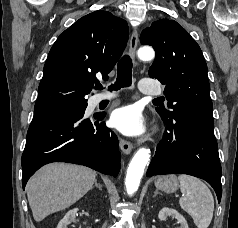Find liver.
<instances>
[{"mask_svg": "<svg viewBox=\"0 0 238 228\" xmlns=\"http://www.w3.org/2000/svg\"><path fill=\"white\" fill-rule=\"evenodd\" d=\"M95 178V171L80 165L52 163L42 167L26 186L34 220L40 222L76 203L92 188Z\"/></svg>", "mask_w": 238, "mask_h": 228, "instance_id": "liver-1", "label": "liver"}]
</instances>
